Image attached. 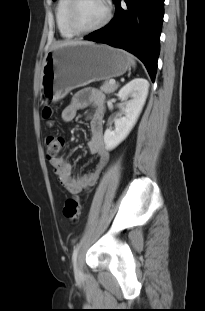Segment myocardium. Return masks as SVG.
I'll list each match as a JSON object with an SVG mask.
<instances>
[{"mask_svg": "<svg viewBox=\"0 0 205 311\" xmlns=\"http://www.w3.org/2000/svg\"><path fill=\"white\" fill-rule=\"evenodd\" d=\"M106 5V14L103 20L94 27L91 28H81L76 21V8L79 0H70L67 19L70 28L78 35L90 34L103 29L111 20L112 17V5L109 0H103Z\"/></svg>", "mask_w": 205, "mask_h": 311, "instance_id": "f54148a6", "label": "myocardium"}]
</instances>
